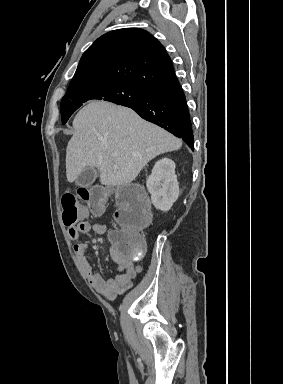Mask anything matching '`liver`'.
<instances>
[{
	"label": "liver",
	"instance_id": "1",
	"mask_svg": "<svg viewBox=\"0 0 283 384\" xmlns=\"http://www.w3.org/2000/svg\"><path fill=\"white\" fill-rule=\"evenodd\" d=\"M73 128L66 150L68 182H75L89 166L98 168L103 186H126L150 160L182 146V140L145 122L130 108L103 100L84 106Z\"/></svg>",
	"mask_w": 283,
	"mask_h": 384
}]
</instances>
